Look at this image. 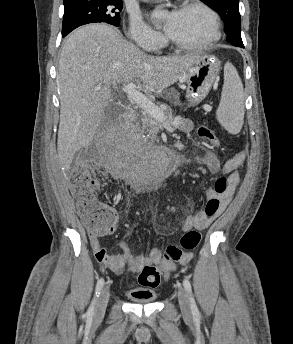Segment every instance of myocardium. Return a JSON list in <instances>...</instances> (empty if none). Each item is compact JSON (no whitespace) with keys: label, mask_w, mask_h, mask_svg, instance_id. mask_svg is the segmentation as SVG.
<instances>
[{"label":"myocardium","mask_w":293,"mask_h":344,"mask_svg":"<svg viewBox=\"0 0 293 344\" xmlns=\"http://www.w3.org/2000/svg\"><path fill=\"white\" fill-rule=\"evenodd\" d=\"M194 8L201 9L209 15L212 22V34L204 42L191 44V43H185V42L176 40L166 33L165 38H166L167 43L175 49L182 50V51L205 50L215 45L221 38L222 31H221V23H220L219 15L212 7H210L206 3L200 0H190L180 5L175 10V12H183V11H187Z\"/></svg>","instance_id":"obj_1"}]
</instances>
